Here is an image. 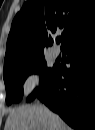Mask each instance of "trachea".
Instances as JSON below:
<instances>
[{
    "mask_svg": "<svg viewBox=\"0 0 95 130\" xmlns=\"http://www.w3.org/2000/svg\"><path fill=\"white\" fill-rule=\"evenodd\" d=\"M56 42H57V43H60V40H57Z\"/></svg>",
    "mask_w": 95,
    "mask_h": 130,
    "instance_id": "3493384b",
    "label": "trachea"
}]
</instances>
